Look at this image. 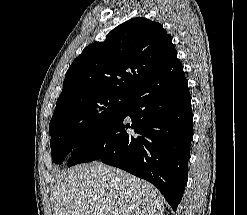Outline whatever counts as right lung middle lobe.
I'll use <instances>...</instances> for the list:
<instances>
[{
    "instance_id": "obj_1",
    "label": "right lung middle lobe",
    "mask_w": 247,
    "mask_h": 215,
    "mask_svg": "<svg viewBox=\"0 0 247 215\" xmlns=\"http://www.w3.org/2000/svg\"><path fill=\"white\" fill-rule=\"evenodd\" d=\"M130 95L97 94L67 102L55 109L49 124L52 159L60 164L75 147L120 116Z\"/></svg>"
}]
</instances>
